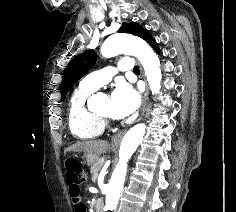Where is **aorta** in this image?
Wrapping results in <instances>:
<instances>
[{
  "instance_id": "aorta-1",
  "label": "aorta",
  "mask_w": 236,
  "mask_h": 212,
  "mask_svg": "<svg viewBox=\"0 0 236 212\" xmlns=\"http://www.w3.org/2000/svg\"><path fill=\"white\" fill-rule=\"evenodd\" d=\"M121 53L131 54L138 58L145 70L152 93H159L162 78L160 61L152 48L144 40L125 33L111 35L101 47V54L105 58L114 57ZM102 97L101 94L91 96L88 100L89 106L97 105ZM145 129V124H137L130 128L122 139L119 149V161L104 189L105 208L108 211L115 212L117 209L125 182L128 160L142 141Z\"/></svg>"
}]
</instances>
